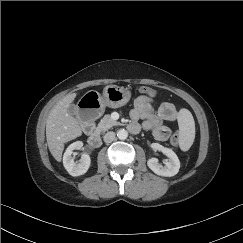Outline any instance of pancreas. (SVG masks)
Returning a JSON list of instances; mask_svg holds the SVG:
<instances>
[{
  "mask_svg": "<svg viewBox=\"0 0 243 243\" xmlns=\"http://www.w3.org/2000/svg\"><path fill=\"white\" fill-rule=\"evenodd\" d=\"M115 125H120L119 122L114 121L110 115H105L99 122L97 126L98 132H106Z\"/></svg>",
  "mask_w": 243,
  "mask_h": 243,
  "instance_id": "1",
  "label": "pancreas"
}]
</instances>
